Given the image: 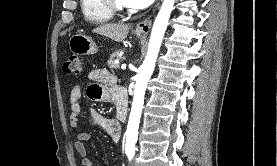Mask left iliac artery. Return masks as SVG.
<instances>
[{
	"mask_svg": "<svg viewBox=\"0 0 277 166\" xmlns=\"http://www.w3.org/2000/svg\"><path fill=\"white\" fill-rule=\"evenodd\" d=\"M133 156H134V154H132V153L128 154V158H129L130 161L132 160Z\"/></svg>",
	"mask_w": 277,
	"mask_h": 166,
	"instance_id": "obj_1",
	"label": "left iliac artery"
}]
</instances>
